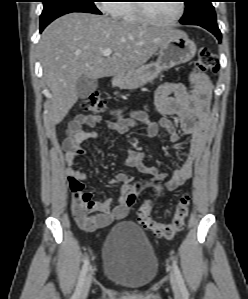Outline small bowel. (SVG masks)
Returning <instances> with one entry per match:
<instances>
[{"mask_svg":"<svg viewBox=\"0 0 248 299\" xmlns=\"http://www.w3.org/2000/svg\"><path fill=\"white\" fill-rule=\"evenodd\" d=\"M190 83L192 85L191 92H188L181 82H166L155 93V105L158 111L165 115H177L181 130L190 138V151L186 161L175 169L167 179L166 173L144 164L145 152L131 150L127 158L129 166L136 168L141 173L151 174L157 181H164L166 188L170 191L176 190L191 177L195 164L202 156L208 130V107L213 83L205 74L196 72L191 74ZM101 123L100 116L79 115L66 129L62 147L65 150L64 159L71 190L75 188L76 182L83 184L86 179V174L81 167L73 169L71 166L76 158L86 155L81 144L88 139L99 137L100 134L93 128ZM136 125L146 127L151 135L157 134L161 126L167 130L171 142L179 141V133L167 117L162 118L158 124L143 113L120 114L106 122V126L110 130L119 134L128 133L129 129ZM113 182H122L121 194L117 205L113 208L110 199L94 200V190L84 192L90 200L92 213L83 217L74 215L75 221L83 231L95 232L107 227L114 220L123 219L126 216L128 207L124 203V197L130 188L131 177L121 173L113 179Z\"/></svg>","mask_w":248,"mask_h":299,"instance_id":"obj_1","label":"small bowel"}]
</instances>
